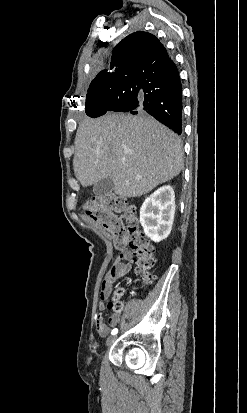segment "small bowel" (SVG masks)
I'll return each instance as SVG.
<instances>
[{"instance_id":"c3829d8e","label":"small bowel","mask_w":247,"mask_h":413,"mask_svg":"<svg viewBox=\"0 0 247 413\" xmlns=\"http://www.w3.org/2000/svg\"><path fill=\"white\" fill-rule=\"evenodd\" d=\"M132 258V253L129 250H122L111 264L107 274L103 279L98 305L100 313L98 314L95 321V330L100 337H107L110 333V327L117 326L120 321V316L113 314L110 316L108 324H106L101 312L105 309L106 302L112 294L113 285L115 284V282L131 272ZM115 296L120 297L121 291H116L113 297Z\"/></svg>"}]
</instances>
